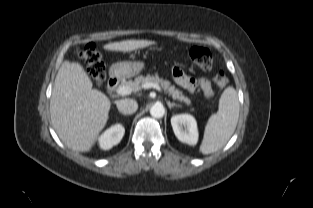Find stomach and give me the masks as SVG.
Returning <instances> with one entry per match:
<instances>
[{
  "label": "stomach",
  "mask_w": 313,
  "mask_h": 208,
  "mask_svg": "<svg viewBox=\"0 0 313 208\" xmlns=\"http://www.w3.org/2000/svg\"><path fill=\"white\" fill-rule=\"evenodd\" d=\"M145 64L141 61H125L114 64L111 71L118 77H133L138 75L143 69Z\"/></svg>",
  "instance_id": "0dacf381"
}]
</instances>
